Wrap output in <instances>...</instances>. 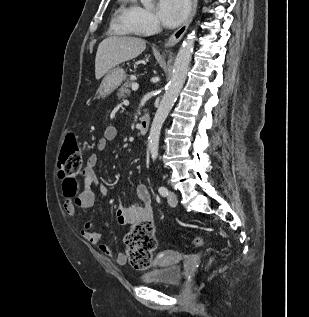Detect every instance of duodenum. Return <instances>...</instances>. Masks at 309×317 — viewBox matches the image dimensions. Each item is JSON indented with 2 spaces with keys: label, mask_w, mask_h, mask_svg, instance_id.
<instances>
[{
  "label": "duodenum",
  "mask_w": 309,
  "mask_h": 317,
  "mask_svg": "<svg viewBox=\"0 0 309 317\" xmlns=\"http://www.w3.org/2000/svg\"><path fill=\"white\" fill-rule=\"evenodd\" d=\"M149 126H150V116L148 114H143L140 118L138 125H137V129L139 131V134L141 136H144L147 133Z\"/></svg>",
  "instance_id": "410a0bca"
}]
</instances>
